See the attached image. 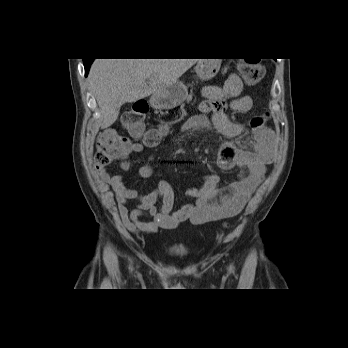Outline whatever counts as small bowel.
Returning <instances> with one entry per match:
<instances>
[{
  "label": "small bowel",
  "mask_w": 348,
  "mask_h": 348,
  "mask_svg": "<svg viewBox=\"0 0 348 348\" xmlns=\"http://www.w3.org/2000/svg\"><path fill=\"white\" fill-rule=\"evenodd\" d=\"M242 90V81L236 74L229 75L222 86H205V99L200 104L202 114L190 117L183 125L182 132L205 129L208 120L204 114L209 113L218 133L225 137L241 135L245 124L231 121L226 111L248 113L252 109V98L242 94ZM274 141L273 131L255 128L249 148L239 149L224 143L219 150L218 163L226 170L239 169V179L229 189L220 191L217 189V175L206 176L200 186L187 190V195L194 201L175 211L174 192L167 182H161L149 193L140 194L128 187L121 175H111L105 167L97 166V173L103 182L112 187L125 228L133 234H152L160 228H174L187 219L198 225L231 218L240 213L266 174L267 165L274 156ZM147 146L145 143H134L130 152H142ZM153 159L151 155L147 164L140 168V177H148L153 173ZM120 166L128 169L130 164L122 160ZM131 202H135V206L130 210ZM144 217L151 220L143 221Z\"/></svg>",
  "instance_id": "1"
}]
</instances>
